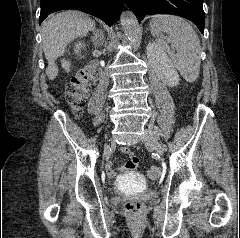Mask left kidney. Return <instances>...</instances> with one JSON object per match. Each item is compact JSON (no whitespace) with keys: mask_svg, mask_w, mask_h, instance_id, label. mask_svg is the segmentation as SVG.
<instances>
[{"mask_svg":"<svg viewBox=\"0 0 240 238\" xmlns=\"http://www.w3.org/2000/svg\"><path fill=\"white\" fill-rule=\"evenodd\" d=\"M146 55L151 67L166 85L174 87L179 84L176 66L159 44L150 42L146 48Z\"/></svg>","mask_w":240,"mask_h":238,"instance_id":"5707ae66","label":"left kidney"}]
</instances>
